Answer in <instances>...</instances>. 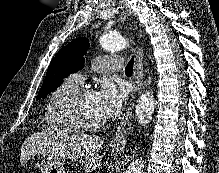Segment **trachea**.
I'll use <instances>...</instances> for the list:
<instances>
[{
    "mask_svg": "<svg viewBox=\"0 0 219 173\" xmlns=\"http://www.w3.org/2000/svg\"><path fill=\"white\" fill-rule=\"evenodd\" d=\"M133 66H134V57L130 59L128 62L126 68H125V73L126 74H132L133 73Z\"/></svg>",
    "mask_w": 219,
    "mask_h": 173,
    "instance_id": "1",
    "label": "trachea"
}]
</instances>
